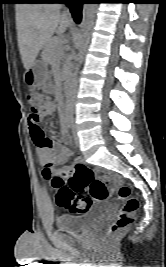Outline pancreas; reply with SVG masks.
<instances>
[{
  "label": "pancreas",
  "mask_w": 166,
  "mask_h": 267,
  "mask_svg": "<svg viewBox=\"0 0 166 267\" xmlns=\"http://www.w3.org/2000/svg\"><path fill=\"white\" fill-rule=\"evenodd\" d=\"M63 46L61 40L57 37L50 39V41L45 45L42 51V59L52 66H57L60 64L61 52ZM66 72L65 65L61 68V75H64Z\"/></svg>",
  "instance_id": "pancreas-1"
}]
</instances>
